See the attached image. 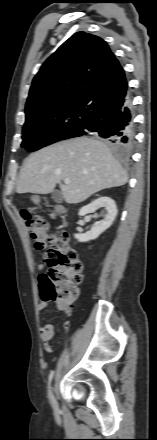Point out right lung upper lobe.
Segmentation results:
<instances>
[{
	"label": "right lung upper lobe",
	"mask_w": 157,
	"mask_h": 440,
	"mask_svg": "<svg viewBox=\"0 0 157 440\" xmlns=\"http://www.w3.org/2000/svg\"><path fill=\"white\" fill-rule=\"evenodd\" d=\"M128 95L124 70L107 43L78 32L34 77L25 107L26 121L85 125Z\"/></svg>",
	"instance_id": "1"
}]
</instances>
